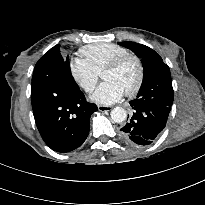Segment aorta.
<instances>
[{"label":"aorta","instance_id":"762f6f07","mask_svg":"<svg viewBox=\"0 0 205 205\" xmlns=\"http://www.w3.org/2000/svg\"><path fill=\"white\" fill-rule=\"evenodd\" d=\"M110 115L111 119L115 123H122L127 118V112L122 107H115L114 109H112Z\"/></svg>","mask_w":205,"mask_h":205}]
</instances>
